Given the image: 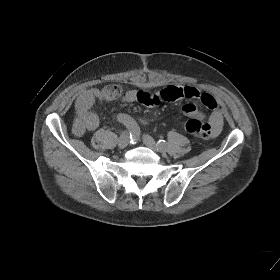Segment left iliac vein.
Wrapping results in <instances>:
<instances>
[{"instance_id":"obj_1","label":"left iliac vein","mask_w":280,"mask_h":280,"mask_svg":"<svg viewBox=\"0 0 280 280\" xmlns=\"http://www.w3.org/2000/svg\"><path fill=\"white\" fill-rule=\"evenodd\" d=\"M142 140H143V143L147 147L152 149L153 151H155V152H164V149L159 148L158 145L156 144L155 140L150 135L144 134L142 136Z\"/></svg>"}]
</instances>
